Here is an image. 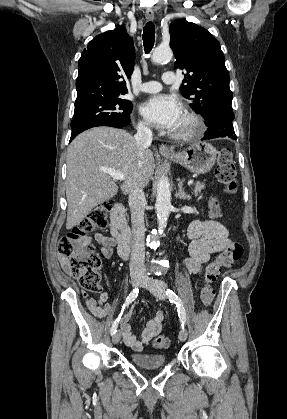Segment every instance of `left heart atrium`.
<instances>
[{
  "label": "left heart atrium",
  "mask_w": 287,
  "mask_h": 419,
  "mask_svg": "<svg viewBox=\"0 0 287 419\" xmlns=\"http://www.w3.org/2000/svg\"><path fill=\"white\" fill-rule=\"evenodd\" d=\"M140 111L154 126L167 130L176 129L183 117L179 100L167 94L151 96L141 105Z\"/></svg>",
  "instance_id": "1"
}]
</instances>
